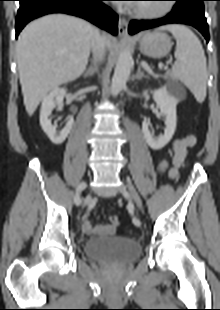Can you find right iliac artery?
<instances>
[{
	"label": "right iliac artery",
	"mask_w": 220,
	"mask_h": 310,
	"mask_svg": "<svg viewBox=\"0 0 220 310\" xmlns=\"http://www.w3.org/2000/svg\"><path fill=\"white\" fill-rule=\"evenodd\" d=\"M86 188V183L85 182H81L77 189H76V194H75V198H74V202L76 203V205H80L81 203V199H80V193L82 190H84Z\"/></svg>",
	"instance_id": "1"
}]
</instances>
